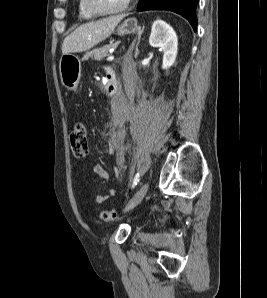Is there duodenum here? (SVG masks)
I'll return each mask as SVG.
<instances>
[{
  "label": "duodenum",
  "mask_w": 267,
  "mask_h": 298,
  "mask_svg": "<svg viewBox=\"0 0 267 298\" xmlns=\"http://www.w3.org/2000/svg\"><path fill=\"white\" fill-rule=\"evenodd\" d=\"M106 79H107V91L109 93L118 92V88L120 85H119L117 74L114 69L108 68Z\"/></svg>",
  "instance_id": "410a0bca"
}]
</instances>
